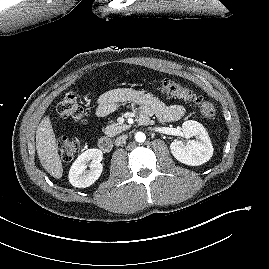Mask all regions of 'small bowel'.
<instances>
[{"instance_id": "c3829d8e", "label": "small bowel", "mask_w": 269, "mask_h": 269, "mask_svg": "<svg viewBox=\"0 0 269 269\" xmlns=\"http://www.w3.org/2000/svg\"><path fill=\"white\" fill-rule=\"evenodd\" d=\"M126 102L139 106L141 124H148L152 117L163 122L176 121L185 113V108L180 104L166 105L143 91L122 88L110 90L99 97L96 115L99 118L105 117L112 113L118 105Z\"/></svg>"}]
</instances>
